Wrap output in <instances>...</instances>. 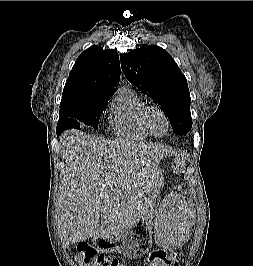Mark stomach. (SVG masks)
I'll list each match as a JSON object with an SVG mask.
<instances>
[{"mask_svg": "<svg viewBox=\"0 0 253 266\" xmlns=\"http://www.w3.org/2000/svg\"><path fill=\"white\" fill-rule=\"evenodd\" d=\"M152 228L151 214L143 212L134 225L118 235L107 238L99 236L94 238V241L101 251L118 252L126 258H138L147 253L152 246Z\"/></svg>", "mask_w": 253, "mask_h": 266, "instance_id": "obj_1", "label": "stomach"}]
</instances>
